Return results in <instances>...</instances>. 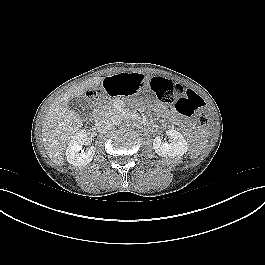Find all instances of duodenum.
<instances>
[{"mask_svg":"<svg viewBox=\"0 0 265 265\" xmlns=\"http://www.w3.org/2000/svg\"><path fill=\"white\" fill-rule=\"evenodd\" d=\"M97 117H98V112L95 111V112L93 113V119H96Z\"/></svg>","mask_w":265,"mask_h":265,"instance_id":"1","label":"duodenum"}]
</instances>
